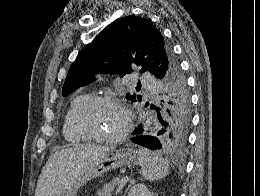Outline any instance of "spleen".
I'll return each mask as SVG.
<instances>
[{"label": "spleen", "mask_w": 260, "mask_h": 196, "mask_svg": "<svg viewBox=\"0 0 260 196\" xmlns=\"http://www.w3.org/2000/svg\"><path fill=\"white\" fill-rule=\"evenodd\" d=\"M138 164L141 166V176L144 180L149 182H155V180H162L168 176L169 162L161 158L159 154L150 152V150H139L138 152Z\"/></svg>", "instance_id": "3e777b00"}]
</instances>
